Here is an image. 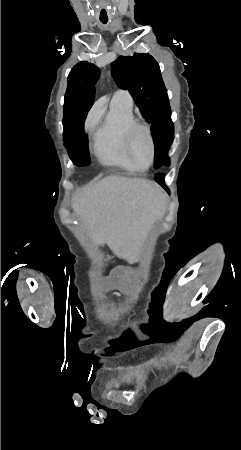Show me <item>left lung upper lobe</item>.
Here are the masks:
<instances>
[{
  "instance_id": "5c2ea615",
  "label": "left lung upper lobe",
  "mask_w": 241,
  "mask_h": 450,
  "mask_svg": "<svg viewBox=\"0 0 241 450\" xmlns=\"http://www.w3.org/2000/svg\"><path fill=\"white\" fill-rule=\"evenodd\" d=\"M112 76L118 87L129 90L147 122L155 145V168L169 165L167 156L174 133L171 109L160 67L149 54L120 56L112 64Z\"/></svg>"
}]
</instances>
